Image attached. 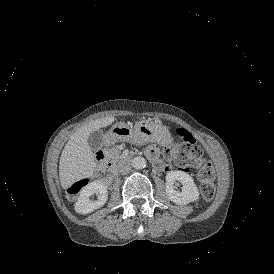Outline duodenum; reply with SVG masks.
<instances>
[{
    "mask_svg": "<svg viewBox=\"0 0 274 274\" xmlns=\"http://www.w3.org/2000/svg\"><path fill=\"white\" fill-rule=\"evenodd\" d=\"M96 158L98 160L99 166L101 169L106 171L110 176H115L116 175V168L114 164L111 162L110 159L102 152L99 151L96 154ZM154 166L161 171L168 170V167L164 165L161 161L157 159H152Z\"/></svg>",
    "mask_w": 274,
    "mask_h": 274,
    "instance_id": "obj_1",
    "label": "duodenum"
}]
</instances>
